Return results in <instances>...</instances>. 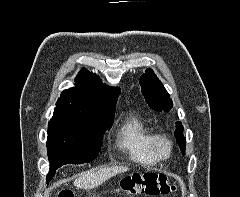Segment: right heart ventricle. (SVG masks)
Masks as SVG:
<instances>
[{"instance_id":"1","label":"right heart ventricle","mask_w":240,"mask_h":197,"mask_svg":"<svg viewBox=\"0 0 240 197\" xmlns=\"http://www.w3.org/2000/svg\"><path fill=\"white\" fill-rule=\"evenodd\" d=\"M152 132L148 126L136 116H128L117 132V147L127 157L140 165L154 166L159 160L154 156L150 142Z\"/></svg>"}]
</instances>
